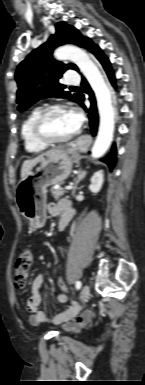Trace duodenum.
Instances as JSON below:
<instances>
[{"mask_svg":"<svg viewBox=\"0 0 145 385\" xmlns=\"http://www.w3.org/2000/svg\"><path fill=\"white\" fill-rule=\"evenodd\" d=\"M72 218L71 211H67L58 222V230L63 231L69 225V222Z\"/></svg>","mask_w":145,"mask_h":385,"instance_id":"obj_1","label":"duodenum"}]
</instances>
